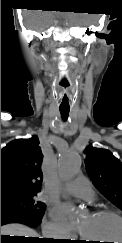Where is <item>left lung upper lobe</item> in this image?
I'll return each mask as SVG.
<instances>
[{
  "label": "left lung upper lobe",
  "instance_id": "obj_1",
  "mask_svg": "<svg viewBox=\"0 0 122 243\" xmlns=\"http://www.w3.org/2000/svg\"><path fill=\"white\" fill-rule=\"evenodd\" d=\"M84 152L86 171L94 185L122 210V163L105 149L88 146Z\"/></svg>",
  "mask_w": 122,
  "mask_h": 243
}]
</instances>
